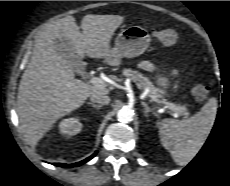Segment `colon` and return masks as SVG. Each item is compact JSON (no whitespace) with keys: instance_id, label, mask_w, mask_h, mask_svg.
<instances>
[{"instance_id":"1","label":"colon","mask_w":230,"mask_h":186,"mask_svg":"<svg viewBox=\"0 0 230 186\" xmlns=\"http://www.w3.org/2000/svg\"><path fill=\"white\" fill-rule=\"evenodd\" d=\"M154 36L166 45H173L177 42L178 34L176 30L171 28L157 29L154 31ZM209 95V89L202 83H196L192 88L193 98L199 102H204Z\"/></svg>"}]
</instances>
